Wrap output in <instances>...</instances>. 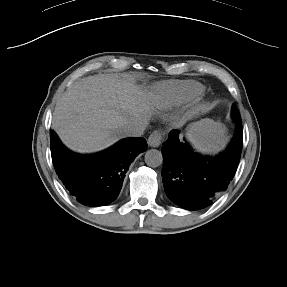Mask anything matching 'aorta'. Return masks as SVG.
<instances>
[{"instance_id": "aorta-1", "label": "aorta", "mask_w": 287, "mask_h": 287, "mask_svg": "<svg viewBox=\"0 0 287 287\" xmlns=\"http://www.w3.org/2000/svg\"><path fill=\"white\" fill-rule=\"evenodd\" d=\"M163 162L162 153L157 149L147 150L145 153V163L152 168L159 167Z\"/></svg>"}]
</instances>
